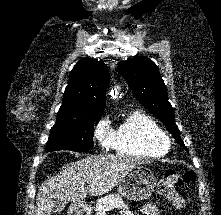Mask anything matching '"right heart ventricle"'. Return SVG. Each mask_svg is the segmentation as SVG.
<instances>
[{
	"instance_id": "obj_1",
	"label": "right heart ventricle",
	"mask_w": 221,
	"mask_h": 215,
	"mask_svg": "<svg viewBox=\"0 0 221 215\" xmlns=\"http://www.w3.org/2000/svg\"><path fill=\"white\" fill-rule=\"evenodd\" d=\"M159 123L143 111L130 113L117 127L113 148L121 155L158 158L166 151L153 143L154 134L161 132Z\"/></svg>"
}]
</instances>
